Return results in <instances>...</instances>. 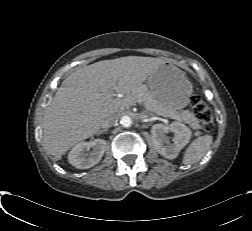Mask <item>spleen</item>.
Instances as JSON below:
<instances>
[{
    "label": "spleen",
    "mask_w": 252,
    "mask_h": 231,
    "mask_svg": "<svg viewBox=\"0 0 252 231\" xmlns=\"http://www.w3.org/2000/svg\"><path fill=\"white\" fill-rule=\"evenodd\" d=\"M213 141L211 135H204L196 138L184 152L182 163L190 165L200 161L209 150Z\"/></svg>",
    "instance_id": "obj_1"
}]
</instances>
